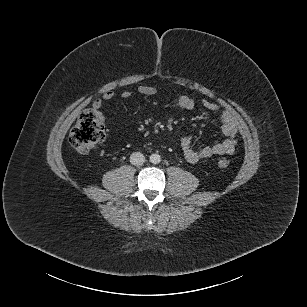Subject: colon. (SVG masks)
Returning a JSON list of instances; mask_svg holds the SVG:
<instances>
[{
	"mask_svg": "<svg viewBox=\"0 0 307 307\" xmlns=\"http://www.w3.org/2000/svg\"><path fill=\"white\" fill-rule=\"evenodd\" d=\"M105 138L104 123L93 108L82 112L69 135V142L75 151L81 154L95 149ZM218 165L227 168L230 162L227 158H220Z\"/></svg>",
	"mask_w": 307,
	"mask_h": 307,
	"instance_id": "obj_1",
	"label": "colon"
}]
</instances>
